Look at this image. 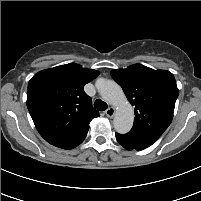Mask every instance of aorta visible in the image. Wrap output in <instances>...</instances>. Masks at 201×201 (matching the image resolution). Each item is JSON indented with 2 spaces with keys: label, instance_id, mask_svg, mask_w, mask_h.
Returning <instances> with one entry per match:
<instances>
[{
  "label": "aorta",
  "instance_id": "1",
  "mask_svg": "<svg viewBox=\"0 0 201 201\" xmlns=\"http://www.w3.org/2000/svg\"><path fill=\"white\" fill-rule=\"evenodd\" d=\"M101 97L116 107L114 128L120 134L128 133L134 120V110L127 100L122 88L113 80L99 79L96 82Z\"/></svg>",
  "mask_w": 201,
  "mask_h": 201
}]
</instances>
